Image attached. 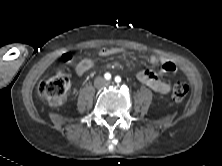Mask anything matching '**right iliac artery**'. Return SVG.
I'll use <instances>...</instances> for the list:
<instances>
[{
  "mask_svg": "<svg viewBox=\"0 0 222 166\" xmlns=\"http://www.w3.org/2000/svg\"><path fill=\"white\" fill-rule=\"evenodd\" d=\"M104 77L106 80H110L111 79V74L110 73H105Z\"/></svg>",
  "mask_w": 222,
  "mask_h": 166,
  "instance_id": "obj_1",
  "label": "right iliac artery"
}]
</instances>
